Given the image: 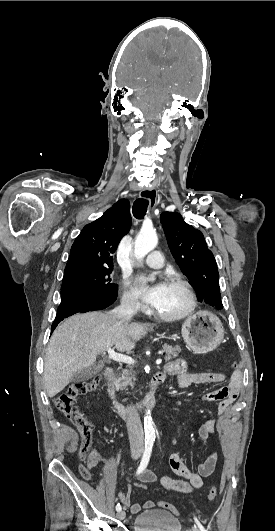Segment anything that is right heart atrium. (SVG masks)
Segmentation results:
<instances>
[{"label":"right heart atrium","mask_w":275,"mask_h":531,"mask_svg":"<svg viewBox=\"0 0 275 531\" xmlns=\"http://www.w3.org/2000/svg\"><path fill=\"white\" fill-rule=\"evenodd\" d=\"M122 304L125 309L132 314H135L143 309V304L139 298V295L134 290L129 288L127 281L125 282Z\"/></svg>","instance_id":"1"}]
</instances>
